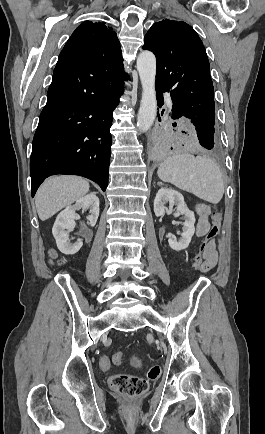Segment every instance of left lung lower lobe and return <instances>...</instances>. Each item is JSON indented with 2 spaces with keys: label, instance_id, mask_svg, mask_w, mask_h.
<instances>
[{
  "label": "left lung lower lobe",
  "instance_id": "1",
  "mask_svg": "<svg viewBox=\"0 0 265 434\" xmlns=\"http://www.w3.org/2000/svg\"><path fill=\"white\" fill-rule=\"evenodd\" d=\"M166 90L163 89L160 86L156 85V93H157V100L158 103L161 105L163 104V98L162 94ZM172 118L173 119H179V118H185L184 114L182 113V110L179 106L173 103L172 106ZM160 120V118H159ZM197 131V137H198V148L201 152L210 154V153H218L221 150V143L219 140V136L217 133L216 126H198L195 127ZM156 148L158 151L162 153H170L173 151H179L180 147L168 139H159L156 142Z\"/></svg>",
  "mask_w": 265,
  "mask_h": 434
}]
</instances>
